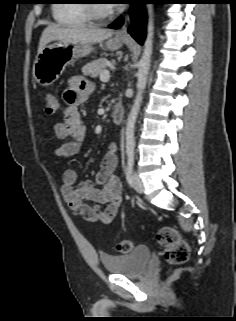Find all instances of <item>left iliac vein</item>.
<instances>
[{"label":"left iliac vein","mask_w":236,"mask_h":321,"mask_svg":"<svg viewBox=\"0 0 236 321\" xmlns=\"http://www.w3.org/2000/svg\"><path fill=\"white\" fill-rule=\"evenodd\" d=\"M132 184L136 192L142 194L144 192V185L142 180L139 178V176L134 173L132 177Z\"/></svg>","instance_id":"4c4485c4"}]
</instances>
